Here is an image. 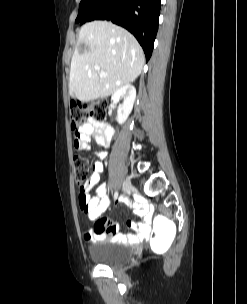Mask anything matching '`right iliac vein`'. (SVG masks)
Masks as SVG:
<instances>
[{
  "instance_id": "1",
  "label": "right iliac vein",
  "mask_w": 247,
  "mask_h": 304,
  "mask_svg": "<svg viewBox=\"0 0 247 304\" xmlns=\"http://www.w3.org/2000/svg\"><path fill=\"white\" fill-rule=\"evenodd\" d=\"M123 191H124L125 194H130V192L132 191V185H131V182L129 180L124 181Z\"/></svg>"
}]
</instances>
